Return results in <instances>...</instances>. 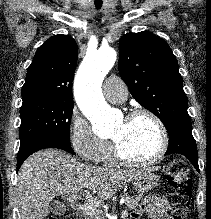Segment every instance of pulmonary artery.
<instances>
[{
    "instance_id": "1",
    "label": "pulmonary artery",
    "mask_w": 211,
    "mask_h": 219,
    "mask_svg": "<svg viewBox=\"0 0 211 219\" xmlns=\"http://www.w3.org/2000/svg\"><path fill=\"white\" fill-rule=\"evenodd\" d=\"M104 95L112 103H122L127 99L128 90L118 76L108 77L103 84Z\"/></svg>"
}]
</instances>
